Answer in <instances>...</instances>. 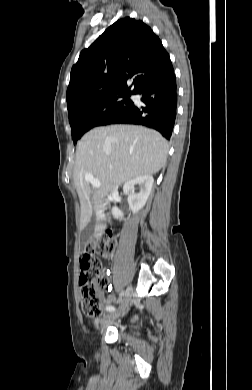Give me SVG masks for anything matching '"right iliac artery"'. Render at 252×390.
Returning <instances> with one entry per match:
<instances>
[{
    "instance_id": "82829eb1",
    "label": "right iliac artery",
    "mask_w": 252,
    "mask_h": 390,
    "mask_svg": "<svg viewBox=\"0 0 252 390\" xmlns=\"http://www.w3.org/2000/svg\"><path fill=\"white\" fill-rule=\"evenodd\" d=\"M114 310H115V308L113 306H111V305L106 307V311L112 312ZM125 315L126 316H131V315H134V312L126 311Z\"/></svg>"
}]
</instances>
